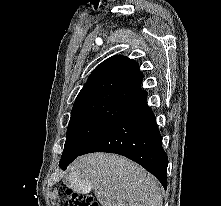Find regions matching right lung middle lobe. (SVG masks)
Instances as JSON below:
<instances>
[{"label": "right lung middle lobe", "instance_id": "dd1d6c3e", "mask_svg": "<svg viewBox=\"0 0 221 206\" xmlns=\"http://www.w3.org/2000/svg\"><path fill=\"white\" fill-rule=\"evenodd\" d=\"M127 108L93 105L72 110L60 165L74 160L85 147Z\"/></svg>", "mask_w": 221, "mask_h": 206}]
</instances>
